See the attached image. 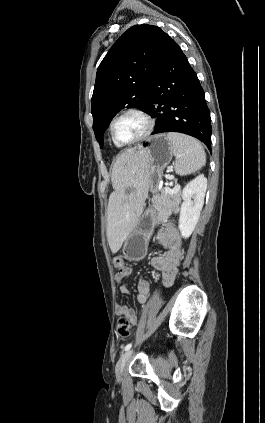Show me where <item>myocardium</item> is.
<instances>
[{"instance_id":"obj_1","label":"myocardium","mask_w":265,"mask_h":423,"mask_svg":"<svg viewBox=\"0 0 265 423\" xmlns=\"http://www.w3.org/2000/svg\"><path fill=\"white\" fill-rule=\"evenodd\" d=\"M130 114L140 116L145 121L146 127H145V130L143 131V133L139 137H137L136 139L128 141V142H121L115 136L114 126H115V123L119 119H121L122 117H124L126 115H130ZM154 127H155V121L148 112H146L145 110H143L142 108H139V107H127V108L121 110L119 113H117L112 118L110 125H109V131H110V135H111V138H112L114 143H116L117 145H120V146H129V145L139 143V142L143 141L144 139H146L153 132Z\"/></svg>"}]
</instances>
